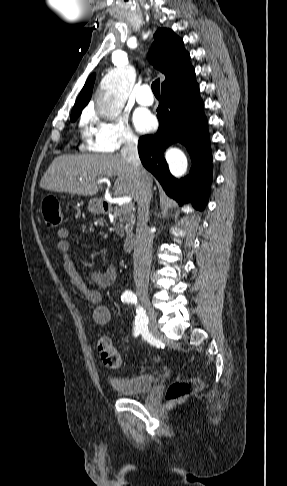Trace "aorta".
I'll return each instance as SVG.
<instances>
[{
  "label": "aorta",
  "mask_w": 287,
  "mask_h": 486,
  "mask_svg": "<svg viewBox=\"0 0 287 486\" xmlns=\"http://www.w3.org/2000/svg\"><path fill=\"white\" fill-rule=\"evenodd\" d=\"M132 81L127 72H113L108 75L98 95L96 108L98 113L107 119L116 118L124 107L131 91ZM187 163L179 159L170 165V171L175 177L184 175Z\"/></svg>",
  "instance_id": "aorta-1"
}]
</instances>
